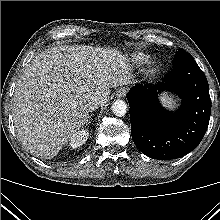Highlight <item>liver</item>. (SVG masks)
<instances>
[{
  "instance_id": "liver-1",
  "label": "liver",
  "mask_w": 220,
  "mask_h": 220,
  "mask_svg": "<svg viewBox=\"0 0 220 220\" xmlns=\"http://www.w3.org/2000/svg\"><path fill=\"white\" fill-rule=\"evenodd\" d=\"M128 57L114 48L62 45L38 54L13 97L17 136L34 156L51 159L88 120L92 97L104 106L110 88L131 82Z\"/></svg>"
}]
</instances>
